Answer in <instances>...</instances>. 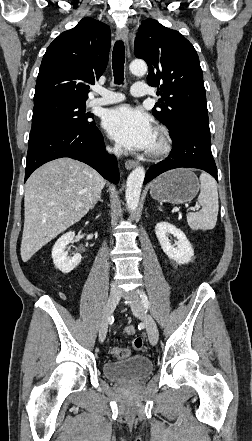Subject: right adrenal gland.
Returning a JSON list of instances; mask_svg holds the SVG:
<instances>
[{"label":"right adrenal gland","instance_id":"right-adrenal-gland-1","mask_svg":"<svg viewBox=\"0 0 252 441\" xmlns=\"http://www.w3.org/2000/svg\"><path fill=\"white\" fill-rule=\"evenodd\" d=\"M98 201L103 202V200L101 199V193L97 196L91 209H93L95 207V205L97 204Z\"/></svg>","mask_w":252,"mask_h":441}]
</instances>
